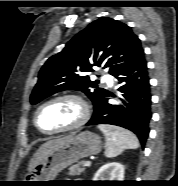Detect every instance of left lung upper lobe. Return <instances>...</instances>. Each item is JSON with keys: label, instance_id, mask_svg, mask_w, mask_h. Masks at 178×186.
I'll use <instances>...</instances> for the list:
<instances>
[{"label": "left lung upper lobe", "instance_id": "left-lung-upper-lobe-1", "mask_svg": "<svg viewBox=\"0 0 178 186\" xmlns=\"http://www.w3.org/2000/svg\"><path fill=\"white\" fill-rule=\"evenodd\" d=\"M143 56L141 42L130 27L111 18H99L46 61L31 94V104L59 91L80 90L96 109L107 90L99 88L98 81H91L85 73L98 66L116 76Z\"/></svg>", "mask_w": 178, "mask_h": 186}]
</instances>
